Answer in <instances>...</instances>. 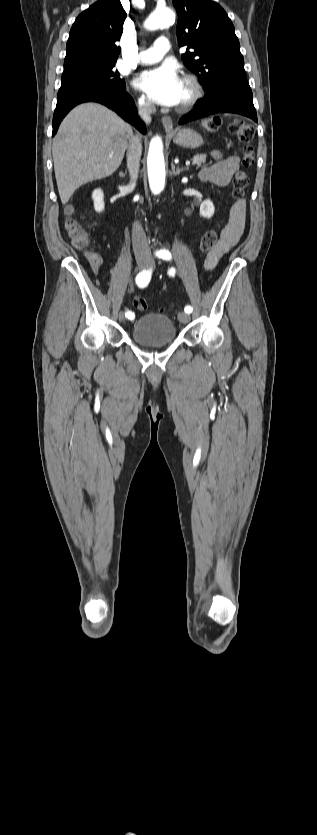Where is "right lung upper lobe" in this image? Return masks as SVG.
<instances>
[{
  "instance_id": "obj_1",
  "label": "right lung upper lobe",
  "mask_w": 317,
  "mask_h": 835,
  "mask_svg": "<svg viewBox=\"0 0 317 835\" xmlns=\"http://www.w3.org/2000/svg\"><path fill=\"white\" fill-rule=\"evenodd\" d=\"M126 18L120 1L99 0L75 20L67 41L65 62L94 60L115 63L120 53L116 46Z\"/></svg>"
}]
</instances>
